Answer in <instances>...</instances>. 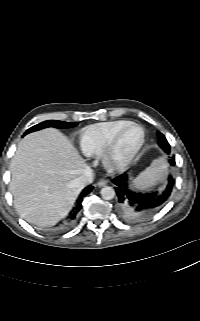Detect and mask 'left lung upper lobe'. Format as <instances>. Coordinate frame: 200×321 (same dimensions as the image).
<instances>
[{"mask_svg": "<svg viewBox=\"0 0 200 321\" xmlns=\"http://www.w3.org/2000/svg\"><path fill=\"white\" fill-rule=\"evenodd\" d=\"M158 140H159V142H158V143H159V146H160L163 150H165L166 147L169 146V143L167 142L165 136H164L162 133H160V132H158Z\"/></svg>", "mask_w": 200, "mask_h": 321, "instance_id": "5c2ea615", "label": "left lung upper lobe"}]
</instances>
